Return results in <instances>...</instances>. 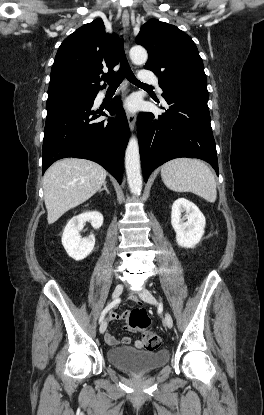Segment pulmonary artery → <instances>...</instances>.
<instances>
[{"mask_svg": "<svg viewBox=\"0 0 264 415\" xmlns=\"http://www.w3.org/2000/svg\"><path fill=\"white\" fill-rule=\"evenodd\" d=\"M140 77V81L143 83H149V84H155L158 86V80L156 79L155 76L148 74V73H140L139 75ZM158 90L161 93L162 89L158 86Z\"/></svg>", "mask_w": 264, "mask_h": 415, "instance_id": "obj_1", "label": "pulmonary artery"}]
</instances>
